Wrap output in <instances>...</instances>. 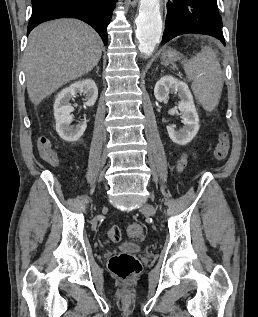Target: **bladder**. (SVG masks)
Returning <instances> with one entry per match:
<instances>
[{"label":"bladder","instance_id":"1","mask_svg":"<svg viewBox=\"0 0 258 317\" xmlns=\"http://www.w3.org/2000/svg\"><path fill=\"white\" fill-rule=\"evenodd\" d=\"M121 252L122 253H127V254H135L140 251V246L134 243H127L123 244L121 247Z\"/></svg>","mask_w":258,"mask_h":317}]
</instances>
